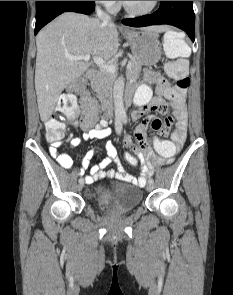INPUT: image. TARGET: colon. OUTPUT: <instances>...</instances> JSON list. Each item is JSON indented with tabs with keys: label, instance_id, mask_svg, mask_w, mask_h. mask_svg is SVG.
<instances>
[{
	"label": "colon",
	"instance_id": "colon-1",
	"mask_svg": "<svg viewBox=\"0 0 233 295\" xmlns=\"http://www.w3.org/2000/svg\"><path fill=\"white\" fill-rule=\"evenodd\" d=\"M163 48L168 58L165 71L175 81V85L171 87V93L172 95L183 94L190 84L187 60L191 47L185 36L176 31H170L164 36ZM85 87V78H79L69 86V92L60 97L53 116L45 123L46 137L49 142L57 143L63 137L66 126L61 118L73 117L76 114L77 106L73 94H83ZM160 135L166 136L167 133L162 132ZM155 148L162 157H170L176 150L169 140H158ZM124 161L129 167H134L138 163L137 158L128 152L124 154Z\"/></svg>",
	"mask_w": 233,
	"mask_h": 295
}]
</instances>
